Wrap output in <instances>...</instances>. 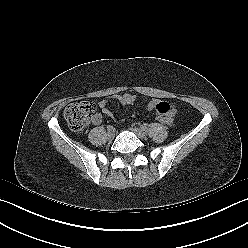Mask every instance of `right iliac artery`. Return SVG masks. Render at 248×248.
Instances as JSON below:
<instances>
[{
	"mask_svg": "<svg viewBox=\"0 0 248 248\" xmlns=\"http://www.w3.org/2000/svg\"><path fill=\"white\" fill-rule=\"evenodd\" d=\"M107 130H108V131H114V127H113L112 125H108V126H107Z\"/></svg>",
	"mask_w": 248,
	"mask_h": 248,
	"instance_id": "1",
	"label": "right iliac artery"
}]
</instances>
